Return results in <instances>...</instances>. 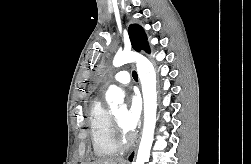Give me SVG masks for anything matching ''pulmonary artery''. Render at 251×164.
Returning a JSON list of instances; mask_svg holds the SVG:
<instances>
[{"instance_id":"e3ab8cb5","label":"pulmonary artery","mask_w":251,"mask_h":164,"mask_svg":"<svg viewBox=\"0 0 251 164\" xmlns=\"http://www.w3.org/2000/svg\"><path fill=\"white\" fill-rule=\"evenodd\" d=\"M130 80H131V75L126 70L118 72L113 78V81L118 84H128Z\"/></svg>"}]
</instances>
